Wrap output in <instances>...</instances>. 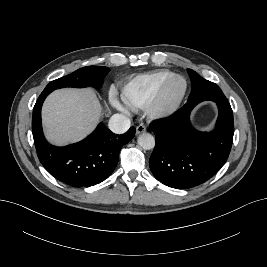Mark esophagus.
I'll list each match as a JSON object with an SVG mask.
<instances>
[{
  "label": "esophagus",
  "instance_id": "obj_1",
  "mask_svg": "<svg viewBox=\"0 0 267 267\" xmlns=\"http://www.w3.org/2000/svg\"><path fill=\"white\" fill-rule=\"evenodd\" d=\"M146 131V127L143 124H140L136 127V134H140Z\"/></svg>",
  "mask_w": 267,
  "mask_h": 267
}]
</instances>
